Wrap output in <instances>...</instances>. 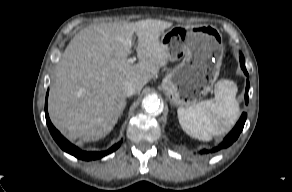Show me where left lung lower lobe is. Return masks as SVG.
<instances>
[{
    "label": "left lung lower lobe",
    "instance_id": "left-lung-lower-lobe-1",
    "mask_svg": "<svg viewBox=\"0 0 292 192\" xmlns=\"http://www.w3.org/2000/svg\"><path fill=\"white\" fill-rule=\"evenodd\" d=\"M240 64H241V68L243 69L245 75L248 76V72H247V70L245 68V59H244L242 54L240 55ZM248 88H249V82L247 80V87H246V93H245L246 103H248ZM246 117H247V114L243 113L242 116L240 117L239 121L237 122L236 126L225 137L224 141L218 147H215L214 149H212L211 152H216V151H218V150H220L222 148H226V147L230 146L238 138V136L240 135V133H241L243 127H244V124H245V121H246ZM201 153H209V151L208 150H203V151H201Z\"/></svg>",
    "mask_w": 292,
    "mask_h": 192
}]
</instances>
